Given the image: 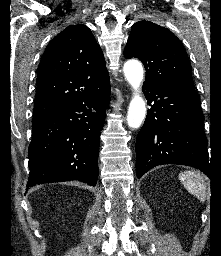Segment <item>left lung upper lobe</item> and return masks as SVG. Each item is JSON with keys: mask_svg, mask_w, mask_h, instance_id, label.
<instances>
[{"mask_svg": "<svg viewBox=\"0 0 221 256\" xmlns=\"http://www.w3.org/2000/svg\"><path fill=\"white\" fill-rule=\"evenodd\" d=\"M124 56L141 60L146 69V85L194 90L187 53L180 40L162 26L150 21L135 23Z\"/></svg>", "mask_w": 221, "mask_h": 256, "instance_id": "1", "label": "left lung upper lobe"}]
</instances>
